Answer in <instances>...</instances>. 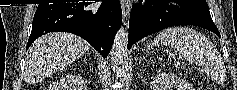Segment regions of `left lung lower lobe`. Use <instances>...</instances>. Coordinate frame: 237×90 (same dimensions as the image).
Segmentation results:
<instances>
[{
    "label": "left lung lower lobe",
    "mask_w": 237,
    "mask_h": 90,
    "mask_svg": "<svg viewBox=\"0 0 237 90\" xmlns=\"http://www.w3.org/2000/svg\"><path fill=\"white\" fill-rule=\"evenodd\" d=\"M174 25H195L219 37L206 2L197 0H140L133 4L128 49L143 37Z\"/></svg>",
    "instance_id": "0a47b994"
}]
</instances>
